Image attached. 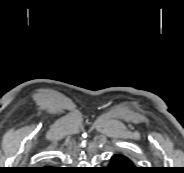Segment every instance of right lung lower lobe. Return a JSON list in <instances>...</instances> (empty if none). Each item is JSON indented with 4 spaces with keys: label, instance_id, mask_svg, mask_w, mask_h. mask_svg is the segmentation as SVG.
<instances>
[{
    "label": "right lung lower lobe",
    "instance_id": "obj_1",
    "mask_svg": "<svg viewBox=\"0 0 184 173\" xmlns=\"http://www.w3.org/2000/svg\"><path fill=\"white\" fill-rule=\"evenodd\" d=\"M63 170L58 169L56 167H46L44 170H42V173H62Z\"/></svg>",
    "mask_w": 184,
    "mask_h": 173
}]
</instances>
